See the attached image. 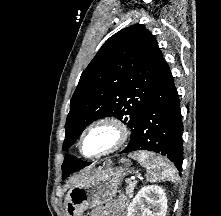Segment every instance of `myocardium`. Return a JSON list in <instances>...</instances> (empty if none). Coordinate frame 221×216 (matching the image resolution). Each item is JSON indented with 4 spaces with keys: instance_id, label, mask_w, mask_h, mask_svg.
<instances>
[{
    "instance_id": "1",
    "label": "myocardium",
    "mask_w": 221,
    "mask_h": 216,
    "mask_svg": "<svg viewBox=\"0 0 221 216\" xmlns=\"http://www.w3.org/2000/svg\"><path fill=\"white\" fill-rule=\"evenodd\" d=\"M98 127L110 128L114 133V140L112 144L109 147H107L105 150L99 153L93 154V155H86L83 152L84 139L88 133H90L92 130ZM129 136H130V129L127 126V124H125L123 121L112 116L102 117L91 122L83 130L78 141V149H79V152L86 158H89V159L101 158L121 149L128 141Z\"/></svg>"
}]
</instances>
